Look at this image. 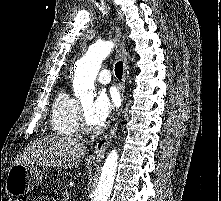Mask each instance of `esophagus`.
Masks as SVG:
<instances>
[{
  "label": "esophagus",
  "instance_id": "1",
  "mask_svg": "<svg viewBox=\"0 0 221 201\" xmlns=\"http://www.w3.org/2000/svg\"><path fill=\"white\" fill-rule=\"evenodd\" d=\"M117 19L120 23H122L123 17H122V14L118 10H117ZM123 39H124V36H123ZM120 56L123 61V76H122V81L120 84V93H121L122 100L124 101V89H125L126 73L128 69V54H127L124 43H122L121 48H120ZM119 121H120V117H118L117 122L115 126L111 129V131L98 140V142L96 143L94 147V151L90 156L91 161L100 162L103 159L106 149L108 148V146L110 145L112 139L114 138L116 134Z\"/></svg>",
  "mask_w": 221,
  "mask_h": 201
}]
</instances>
